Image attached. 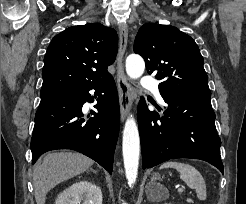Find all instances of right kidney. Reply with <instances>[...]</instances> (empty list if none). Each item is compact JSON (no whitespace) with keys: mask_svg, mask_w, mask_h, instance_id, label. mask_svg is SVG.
I'll return each instance as SVG.
<instances>
[{"mask_svg":"<svg viewBox=\"0 0 246 204\" xmlns=\"http://www.w3.org/2000/svg\"><path fill=\"white\" fill-rule=\"evenodd\" d=\"M102 204L101 189L89 181H79L60 193L55 204Z\"/></svg>","mask_w":246,"mask_h":204,"instance_id":"obj_1","label":"right kidney"}]
</instances>
